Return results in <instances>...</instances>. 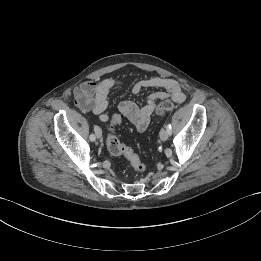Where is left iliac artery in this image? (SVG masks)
Here are the masks:
<instances>
[{
    "mask_svg": "<svg viewBox=\"0 0 261 261\" xmlns=\"http://www.w3.org/2000/svg\"><path fill=\"white\" fill-rule=\"evenodd\" d=\"M166 129H167V131H168V134L171 135V134H172L171 124H167V125H166Z\"/></svg>",
    "mask_w": 261,
    "mask_h": 261,
    "instance_id": "1",
    "label": "left iliac artery"
}]
</instances>
